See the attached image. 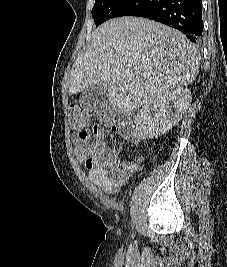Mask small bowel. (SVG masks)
Listing matches in <instances>:
<instances>
[{
    "label": "small bowel",
    "mask_w": 227,
    "mask_h": 267,
    "mask_svg": "<svg viewBox=\"0 0 227 267\" xmlns=\"http://www.w3.org/2000/svg\"><path fill=\"white\" fill-rule=\"evenodd\" d=\"M111 130L115 133L122 132L119 126H113ZM106 133L107 130L98 124L91 129H78L74 137V152L76 159L87 168L90 180L105 191H110L133 174L137 167L134 162H122L112 176L107 174L110 152L103 146Z\"/></svg>",
    "instance_id": "1"
}]
</instances>
